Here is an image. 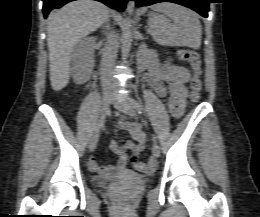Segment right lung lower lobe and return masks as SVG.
I'll use <instances>...</instances> for the list:
<instances>
[{
  "label": "right lung lower lobe",
  "instance_id": "1",
  "mask_svg": "<svg viewBox=\"0 0 260 217\" xmlns=\"http://www.w3.org/2000/svg\"><path fill=\"white\" fill-rule=\"evenodd\" d=\"M74 0H43V13L46 18L49 12L54 8H60L64 4L71 2ZM100 1L107 6L117 9L118 11H123L125 9L126 3L129 0H97Z\"/></svg>",
  "mask_w": 260,
  "mask_h": 217
}]
</instances>
